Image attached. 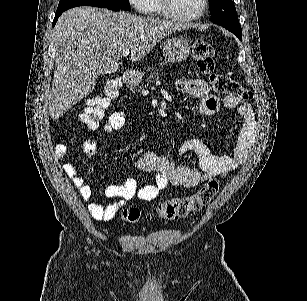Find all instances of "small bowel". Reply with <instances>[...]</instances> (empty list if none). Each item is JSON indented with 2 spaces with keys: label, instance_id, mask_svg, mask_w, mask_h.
Segmentation results:
<instances>
[{
  "label": "small bowel",
  "instance_id": "c3829d8e",
  "mask_svg": "<svg viewBox=\"0 0 307 301\" xmlns=\"http://www.w3.org/2000/svg\"><path fill=\"white\" fill-rule=\"evenodd\" d=\"M177 87L181 92L199 99L200 109L207 115L218 113L222 106L228 109L238 108L242 125L233 154L230 156H218L212 154L200 140H187L181 144L180 152L182 154L194 153L197 156L201 168V171H197L183 165H176L173 161L155 152H146L136 161V166L141 170L156 172L155 180L140 189H138L136 181L131 178L127 179L123 184L108 186L105 190V195L109 198L120 199V201L108 205L90 202L88 212L93 219L100 221L112 219L118 209L135 196L144 201H151L169 183L174 186L192 188L210 179L223 178L246 161L256 134V118L252 106L235 96L227 95L220 99L210 92L208 84L201 79L180 80L177 83ZM125 121L126 113L124 111H115L108 117L103 130L106 133L119 130L124 126ZM96 148L97 143L95 140H87L84 144V151L88 157L95 154ZM55 152L60 160H64L68 153V147L65 143H59L55 147ZM63 170L78 189L82 199L90 201L93 194L92 189L77 174L74 163L65 161Z\"/></svg>",
  "mask_w": 307,
  "mask_h": 301
}]
</instances>
